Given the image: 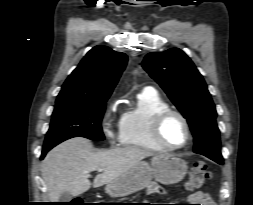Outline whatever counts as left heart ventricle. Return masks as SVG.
Listing matches in <instances>:
<instances>
[{"mask_svg":"<svg viewBox=\"0 0 253 205\" xmlns=\"http://www.w3.org/2000/svg\"><path fill=\"white\" fill-rule=\"evenodd\" d=\"M162 136L168 144H182L186 139V131L181 120L177 117L168 119L163 126Z\"/></svg>","mask_w":253,"mask_h":205,"instance_id":"left-heart-ventricle-1","label":"left heart ventricle"}]
</instances>
